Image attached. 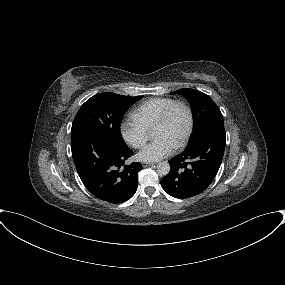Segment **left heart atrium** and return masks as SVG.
<instances>
[{
	"instance_id": "1",
	"label": "left heart atrium",
	"mask_w": 285,
	"mask_h": 285,
	"mask_svg": "<svg viewBox=\"0 0 285 285\" xmlns=\"http://www.w3.org/2000/svg\"><path fill=\"white\" fill-rule=\"evenodd\" d=\"M175 146L165 137H156L138 153V159L145 162L158 161L173 152Z\"/></svg>"
}]
</instances>
